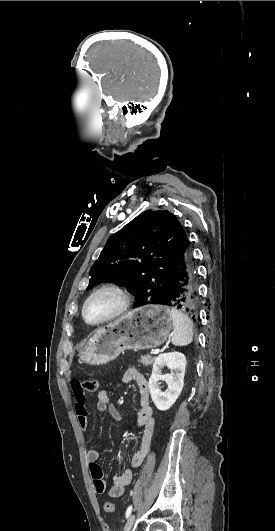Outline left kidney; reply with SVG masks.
Segmentation results:
<instances>
[{
  "instance_id": "1",
  "label": "left kidney",
  "mask_w": 275,
  "mask_h": 531,
  "mask_svg": "<svg viewBox=\"0 0 275 531\" xmlns=\"http://www.w3.org/2000/svg\"><path fill=\"white\" fill-rule=\"evenodd\" d=\"M162 367L171 369V375H161ZM186 357L183 353H163L156 357L148 387L151 399L159 411H168L177 401L184 385ZM174 371V373H173ZM158 381H165L167 391L162 393Z\"/></svg>"
}]
</instances>
